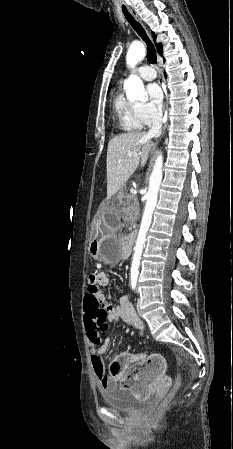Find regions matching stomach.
Masks as SVG:
<instances>
[{
	"label": "stomach",
	"instance_id": "stomach-1",
	"mask_svg": "<svg viewBox=\"0 0 233 449\" xmlns=\"http://www.w3.org/2000/svg\"><path fill=\"white\" fill-rule=\"evenodd\" d=\"M119 197L120 195H117L115 198ZM99 206L105 212L94 213L93 217L98 226L96 235L99 238L90 242L89 252L93 258L115 265L120 258L121 247L112 227H118V221L121 220V213L115 212L121 209V202L101 201Z\"/></svg>",
	"mask_w": 233,
	"mask_h": 449
}]
</instances>
